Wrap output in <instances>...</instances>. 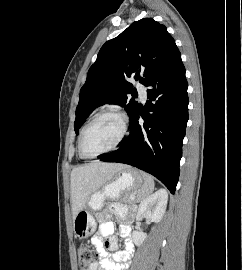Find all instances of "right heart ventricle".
I'll use <instances>...</instances> for the list:
<instances>
[{"instance_id":"1","label":"right heart ventricle","mask_w":242,"mask_h":270,"mask_svg":"<svg viewBox=\"0 0 242 270\" xmlns=\"http://www.w3.org/2000/svg\"><path fill=\"white\" fill-rule=\"evenodd\" d=\"M80 158H83L80 154H79Z\"/></svg>"}]
</instances>
